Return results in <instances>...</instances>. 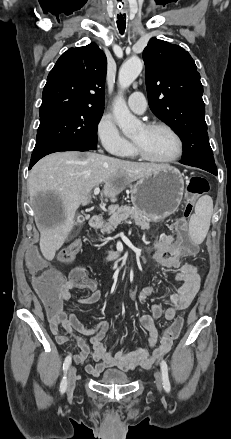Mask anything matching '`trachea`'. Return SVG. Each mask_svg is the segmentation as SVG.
<instances>
[{"label":"trachea","mask_w":231,"mask_h":439,"mask_svg":"<svg viewBox=\"0 0 231 439\" xmlns=\"http://www.w3.org/2000/svg\"><path fill=\"white\" fill-rule=\"evenodd\" d=\"M124 17H125V19H124ZM124 17H123V16H120V17L118 18V20H117V27H118L119 32H120L121 34L124 33V31H125V26H126V15H124Z\"/></svg>","instance_id":"trachea-1"}]
</instances>
